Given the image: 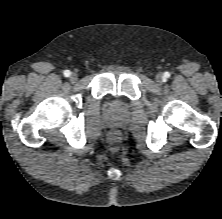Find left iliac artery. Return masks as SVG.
Instances as JSON below:
<instances>
[{"label": "left iliac artery", "instance_id": "1", "mask_svg": "<svg viewBox=\"0 0 222 219\" xmlns=\"http://www.w3.org/2000/svg\"><path fill=\"white\" fill-rule=\"evenodd\" d=\"M164 77H165V78H169V77H170V73H169V72H165V73H164Z\"/></svg>", "mask_w": 222, "mask_h": 219}]
</instances>
